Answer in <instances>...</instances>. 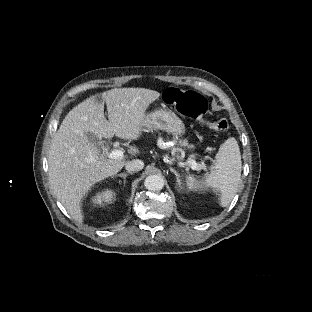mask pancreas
Returning <instances> with one entry per match:
<instances>
[{
	"label": "pancreas",
	"instance_id": "obj_1",
	"mask_svg": "<svg viewBox=\"0 0 312 312\" xmlns=\"http://www.w3.org/2000/svg\"><path fill=\"white\" fill-rule=\"evenodd\" d=\"M182 144H183L184 146H188V145H189V143H188L187 141L182 142Z\"/></svg>",
	"mask_w": 312,
	"mask_h": 312
}]
</instances>
